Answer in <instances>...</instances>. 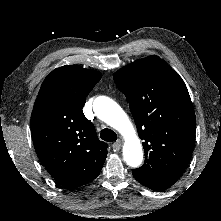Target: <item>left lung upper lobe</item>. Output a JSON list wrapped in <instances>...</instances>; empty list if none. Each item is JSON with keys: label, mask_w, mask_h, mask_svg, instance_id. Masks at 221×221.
<instances>
[{"label": "left lung upper lobe", "mask_w": 221, "mask_h": 221, "mask_svg": "<svg viewBox=\"0 0 221 221\" xmlns=\"http://www.w3.org/2000/svg\"><path fill=\"white\" fill-rule=\"evenodd\" d=\"M114 82L126 96L145 163L132 173L139 182H175L194 148L195 112L181 77L152 55L121 68Z\"/></svg>", "instance_id": "1"}]
</instances>
